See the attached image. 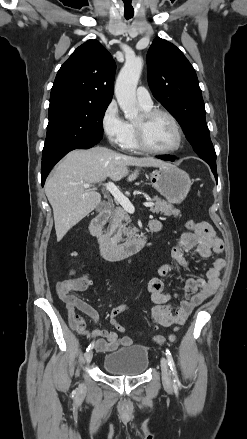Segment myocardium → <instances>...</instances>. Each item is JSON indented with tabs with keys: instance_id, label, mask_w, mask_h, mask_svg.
<instances>
[{
	"instance_id": "obj_1",
	"label": "myocardium",
	"mask_w": 247,
	"mask_h": 439,
	"mask_svg": "<svg viewBox=\"0 0 247 439\" xmlns=\"http://www.w3.org/2000/svg\"><path fill=\"white\" fill-rule=\"evenodd\" d=\"M158 115H163L166 116L168 119H170L176 130L177 140L175 145L172 146L171 148L156 149L151 147L146 140V134H145L146 125L152 118ZM141 117H142L141 121L134 124L136 141L141 150L152 154L167 155V154H172L181 148L184 140L183 129L178 119L171 112L165 109L154 108V109L145 110L142 113Z\"/></svg>"
}]
</instances>
